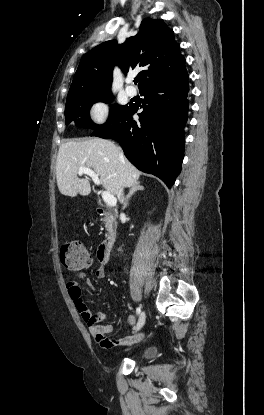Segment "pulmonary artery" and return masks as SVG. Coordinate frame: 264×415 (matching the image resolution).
Wrapping results in <instances>:
<instances>
[{
  "instance_id": "obj_1",
  "label": "pulmonary artery",
  "mask_w": 264,
  "mask_h": 415,
  "mask_svg": "<svg viewBox=\"0 0 264 415\" xmlns=\"http://www.w3.org/2000/svg\"><path fill=\"white\" fill-rule=\"evenodd\" d=\"M127 82H128V86L126 87V93H127L129 96H134V95H136V89L130 85V84H131V82H132V79H131V78H129Z\"/></svg>"
}]
</instances>
